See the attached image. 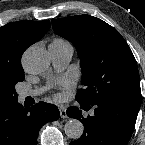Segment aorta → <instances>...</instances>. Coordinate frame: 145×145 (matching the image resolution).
<instances>
[{
  "label": "aorta",
  "mask_w": 145,
  "mask_h": 145,
  "mask_svg": "<svg viewBox=\"0 0 145 145\" xmlns=\"http://www.w3.org/2000/svg\"><path fill=\"white\" fill-rule=\"evenodd\" d=\"M22 63L24 68L32 74L44 72L50 65L48 52L41 47H30L23 54ZM67 137L79 139L84 131L83 124L77 119H70L64 126Z\"/></svg>",
  "instance_id": "1"
}]
</instances>
